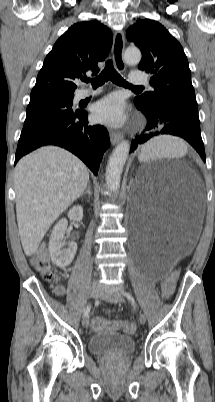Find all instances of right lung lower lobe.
<instances>
[{
    "label": "right lung lower lobe",
    "instance_id": "obj_1",
    "mask_svg": "<svg viewBox=\"0 0 215 402\" xmlns=\"http://www.w3.org/2000/svg\"><path fill=\"white\" fill-rule=\"evenodd\" d=\"M43 145H57L71 151L97 175L110 139L103 126L89 124L87 112L78 111L19 141L14 165L22 156Z\"/></svg>",
    "mask_w": 215,
    "mask_h": 402
}]
</instances>
